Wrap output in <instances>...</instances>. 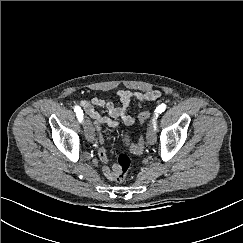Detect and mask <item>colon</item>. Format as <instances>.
Instances as JSON below:
<instances>
[{
	"instance_id": "1",
	"label": "colon",
	"mask_w": 243,
	"mask_h": 243,
	"mask_svg": "<svg viewBox=\"0 0 243 243\" xmlns=\"http://www.w3.org/2000/svg\"><path fill=\"white\" fill-rule=\"evenodd\" d=\"M150 116L149 111H143L139 114V121L140 123H144ZM127 146L132 153L138 154L141 153L144 149V140L140 139L137 143H131L127 141ZM130 158L125 155L121 154L118 156L116 163L113 165L115 171L114 180L118 183H121L125 180L126 174L130 167Z\"/></svg>"
}]
</instances>
